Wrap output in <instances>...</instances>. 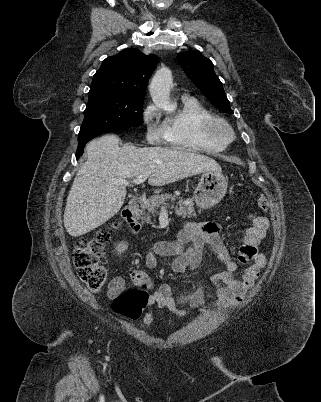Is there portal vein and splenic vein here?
<instances>
[{
    "label": "portal vein and splenic vein",
    "instance_id": "portal-vein-and-splenic-vein-1",
    "mask_svg": "<svg viewBox=\"0 0 321 402\" xmlns=\"http://www.w3.org/2000/svg\"><path fill=\"white\" fill-rule=\"evenodd\" d=\"M149 175H150V173H148V172L140 174L137 178L132 180V183L141 184L149 177ZM112 184L127 186L130 184V181L125 180V179H114V180H112Z\"/></svg>",
    "mask_w": 321,
    "mask_h": 402
}]
</instances>
